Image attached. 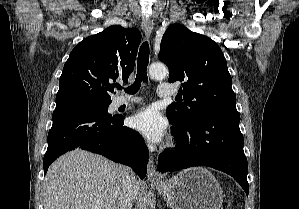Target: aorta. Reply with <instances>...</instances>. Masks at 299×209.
Wrapping results in <instances>:
<instances>
[{
	"instance_id": "aorta-1",
	"label": "aorta",
	"mask_w": 299,
	"mask_h": 209,
	"mask_svg": "<svg viewBox=\"0 0 299 209\" xmlns=\"http://www.w3.org/2000/svg\"><path fill=\"white\" fill-rule=\"evenodd\" d=\"M167 74H168V70L163 64L155 63L152 64L149 68V75L153 79H157V80L163 79L167 76Z\"/></svg>"
}]
</instances>
